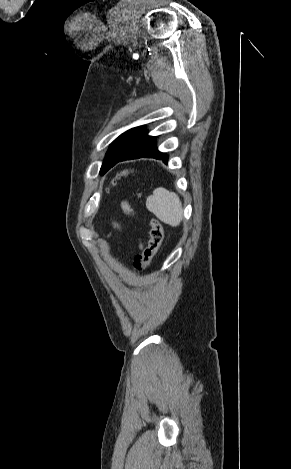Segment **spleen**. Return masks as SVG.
Returning a JSON list of instances; mask_svg holds the SVG:
<instances>
[{"label": "spleen", "instance_id": "obj_1", "mask_svg": "<svg viewBox=\"0 0 291 469\" xmlns=\"http://www.w3.org/2000/svg\"><path fill=\"white\" fill-rule=\"evenodd\" d=\"M146 207L159 220L172 227L182 221L183 209L179 197L165 188H156L153 195L147 198Z\"/></svg>", "mask_w": 291, "mask_h": 469}]
</instances>
